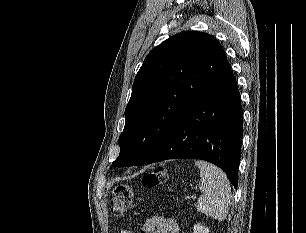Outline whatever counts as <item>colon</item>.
Returning <instances> with one entry per match:
<instances>
[{"label":"colon","instance_id":"obj_1","mask_svg":"<svg viewBox=\"0 0 306 233\" xmlns=\"http://www.w3.org/2000/svg\"><path fill=\"white\" fill-rule=\"evenodd\" d=\"M167 180L164 167H157L142 177V183L147 188L162 185ZM133 199V190L127 184H119L112 190L111 214L118 218L123 216L129 209Z\"/></svg>","mask_w":306,"mask_h":233}]
</instances>
